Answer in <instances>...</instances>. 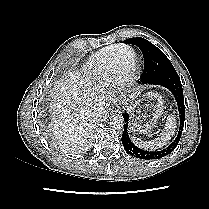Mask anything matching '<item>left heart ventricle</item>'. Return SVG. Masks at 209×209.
<instances>
[{
	"label": "left heart ventricle",
	"mask_w": 209,
	"mask_h": 209,
	"mask_svg": "<svg viewBox=\"0 0 209 209\" xmlns=\"http://www.w3.org/2000/svg\"><path fill=\"white\" fill-rule=\"evenodd\" d=\"M133 52L131 50L123 51L118 59V66L121 70L128 68L132 64Z\"/></svg>",
	"instance_id": "1"
}]
</instances>
